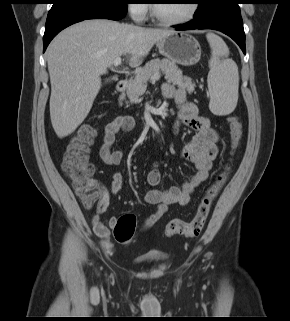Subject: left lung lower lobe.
<instances>
[{"mask_svg": "<svg viewBox=\"0 0 290 321\" xmlns=\"http://www.w3.org/2000/svg\"><path fill=\"white\" fill-rule=\"evenodd\" d=\"M241 0H220L205 12L184 25L173 26L176 30L214 29L231 37L241 48L245 49V33L239 5Z\"/></svg>", "mask_w": 290, "mask_h": 321, "instance_id": "left-lung-lower-lobe-1", "label": "left lung lower lobe"}]
</instances>
